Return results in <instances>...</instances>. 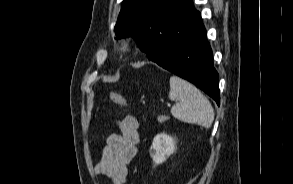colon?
Here are the masks:
<instances>
[{
	"label": "colon",
	"mask_w": 293,
	"mask_h": 184,
	"mask_svg": "<svg viewBox=\"0 0 293 184\" xmlns=\"http://www.w3.org/2000/svg\"><path fill=\"white\" fill-rule=\"evenodd\" d=\"M108 97L113 103L117 104L118 106H121V107L129 106L128 101L116 91L110 90L108 92Z\"/></svg>",
	"instance_id": "5ec220e1"
}]
</instances>
